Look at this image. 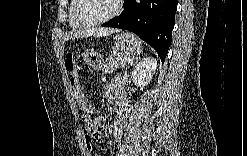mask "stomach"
<instances>
[{
    "label": "stomach",
    "mask_w": 247,
    "mask_h": 156,
    "mask_svg": "<svg viewBox=\"0 0 247 156\" xmlns=\"http://www.w3.org/2000/svg\"><path fill=\"white\" fill-rule=\"evenodd\" d=\"M114 40L116 46L132 58L142 52L140 39L132 33L121 32ZM82 57L84 63L92 70H101L104 65L103 57L93 49L86 50Z\"/></svg>",
    "instance_id": "obj_1"
}]
</instances>
